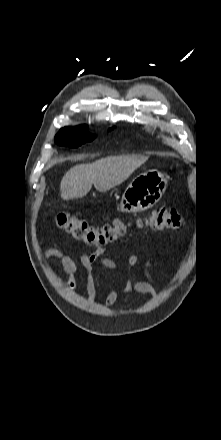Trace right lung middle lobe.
Returning <instances> with one entry per match:
<instances>
[{
  "mask_svg": "<svg viewBox=\"0 0 221 440\" xmlns=\"http://www.w3.org/2000/svg\"><path fill=\"white\" fill-rule=\"evenodd\" d=\"M96 136L89 134L87 126L62 128L55 137L59 145L77 147L85 142L92 141Z\"/></svg>",
  "mask_w": 221,
  "mask_h": 440,
  "instance_id": "right-lung-middle-lobe-1",
  "label": "right lung middle lobe"
}]
</instances>
